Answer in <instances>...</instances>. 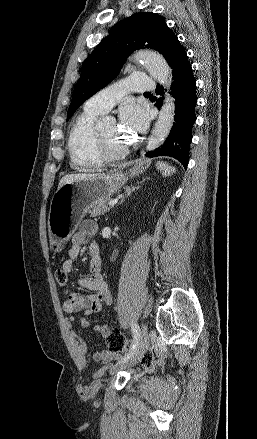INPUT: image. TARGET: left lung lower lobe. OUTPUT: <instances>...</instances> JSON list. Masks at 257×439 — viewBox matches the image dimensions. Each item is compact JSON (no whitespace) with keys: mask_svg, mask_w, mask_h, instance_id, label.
I'll return each instance as SVG.
<instances>
[{"mask_svg":"<svg viewBox=\"0 0 257 439\" xmlns=\"http://www.w3.org/2000/svg\"><path fill=\"white\" fill-rule=\"evenodd\" d=\"M173 74L171 85L172 95L175 98V123L168 138L155 151H148L145 156H170L180 161L186 168L188 165V156L190 143L192 139V127L195 123L196 116L194 113L197 103L196 80L192 73V67L187 59V54L178 39L171 47L170 54L167 58ZM157 94H163V88L160 86L156 89ZM162 98L157 101L156 106L160 108Z\"/></svg>","mask_w":257,"mask_h":439,"instance_id":"left-lung-lower-lobe-1","label":"left lung lower lobe"}]
</instances>
